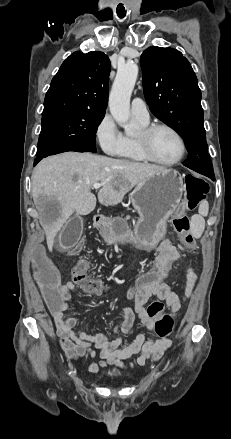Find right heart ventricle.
<instances>
[{
  "instance_id": "1",
  "label": "right heart ventricle",
  "mask_w": 231,
  "mask_h": 439,
  "mask_svg": "<svg viewBox=\"0 0 231 439\" xmlns=\"http://www.w3.org/2000/svg\"><path fill=\"white\" fill-rule=\"evenodd\" d=\"M136 121L141 128L148 125V122H142L138 119ZM118 156L131 162L146 161L137 147L135 136L131 135L123 136V147Z\"/></svg>"
}]
</instances>
